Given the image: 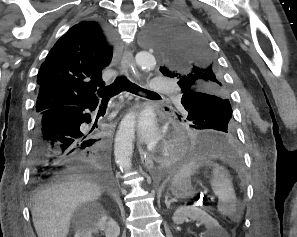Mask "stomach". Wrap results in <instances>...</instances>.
Segmentation results:
<instances>
[{"instance_id": "1", "label": "stomach", "mask_w": 297, "mask_h": 237, "mask_svg": "<svg viewBox=\"0 0 297 237\" xmlns=\"http://www.w3.org/2000/svg\"><path fill=\"white\" fill-rule=\"evenodd\" d=\"M170 190L176 199H185L191 197L195 192L189 179H182L177 182L173 181Z\"/></svg>"}]
</instances>
